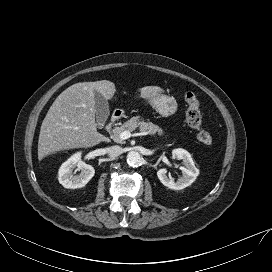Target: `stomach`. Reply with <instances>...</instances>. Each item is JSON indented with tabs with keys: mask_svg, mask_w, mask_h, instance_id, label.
I'll list each match as a JSON object with an SVG mask.
<instances>
[{
	"mask_svg": "<svg viewBox=\"0 0 272 272\" xmlns=\"http://www.w3.org/2000/svg\"><path fill=\"white\" fill-rule=\"evenodd\" d=\"M142 99H144L147 104L151 105L162 116L168 117L177 112V102L171 96L158 94Z\"/></svg>",
	"mask_w": 272,
	"mask_h": 272,
	"instance_id": "1",
	"label": "stomach"
}]
</instances>
